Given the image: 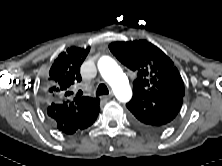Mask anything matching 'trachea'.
Here are the masks:
<instances>
[{
    "mask_svg": "<svg viewBox=\"0 0 222 166\" xmlns=\"http://www.w3.org/2000/svg\"><path fill=\"white\" fill-rule=\"evenodd\" d=\"M109 93V90L105 84H100L96 90V95H107Z\"/></svg>",
    "mask_w": 222,
    "mask_h": 166,
    "instance_id": "3493384b",
    "label": "trachea"
}]
</instances>
